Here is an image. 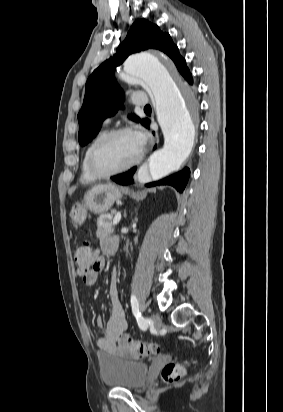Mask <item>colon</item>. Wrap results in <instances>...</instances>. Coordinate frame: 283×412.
Listing matches in <instances>:
<instances>
[{"label": "colon", "instance_id": "obj_1", "mask_svg": "<svg viewBox=\"0 0 283 412\" xmlns=\"http://www.w3.org/2000/svg\"><path fill=\"white\" fill-rule=\"evenodd\" d=\"M75 261L77 265V273L86 275L92 268H95L100 263L99 254L91 247L90 243H83L75 252ZM119 345L126 356L135 358L145 357L154 354L158 350V346L154 343H144L134 340L128 336H123ZM187 365L183 362H170L162 371V377L167 383L179 381L186 373Z\"/></svg>", "mask_w": 283, "mask_h": 412}]
</instances>
